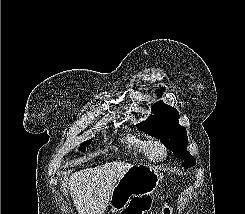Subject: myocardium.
<instances>
[{
	"label": "myocardium",
	"mask_w": 245,
	"mask_h": 214,
	"mask_svg": "<svg viewBox=\"0 0 245 214\" xmlns=\"http://www.w3.org/2000/svg\"><path fill=\"white\" fill-rule=\"evenodd\" d=\"M149 157L152 160H162L166 158L168 149L160 140H151L148 147Z\"/></svg>",
	"instance_id": "myocardium-1"
}]
</instances>
